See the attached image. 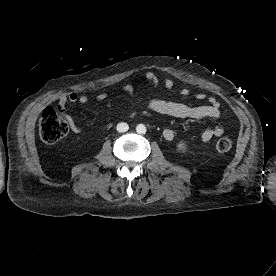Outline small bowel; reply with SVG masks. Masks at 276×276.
I'll return each instance as SVG.
<instances>
[{"mask_svg":"<svg viewBox=\"0 0 276 276\" xmlns=\"http://www.w3.org/2000/svg\"><path fill=\"white\" fill-rule=\"evenodd\" d=\"M159 77L153 73L148 72L144 75V77L140 80V83L144 86L148 85H157L159 84ZM165 88L170 91L172 90L174 83L170 78H165L163 80ZM122 91L127 95L133 94V87L131 85H125L122 88ZM190 94V90L187 88H183L179 91V95L181 97H187ZM108 97L106 93H100L97 95L98 101H103ZM197 100H204L207 98L206 94L199 93L195 96ZM209 103L205 105H197L190 106L181 102L176 101H168L163 99H152L148 108L158 114L180 118V119H204V118H212L217 119L221 116L220 105L218 101L214 97H210L208 99ZM88 102V97L86 95H79L77 93L71 92L66 95H61L58 99V108L64 115L67 120L72 132L79 133L80 127L75 122L72 116L65 112V108L68 103H80L86 104ZM225 128L222 125H218L214 128H208L202 131L201 140L203 142H208L213 137H220L224 134ZM163 138L167 141H171L175 137V132L172 129L163 130Z\"/></svg>","mask_w":276,"mask_h":276,"instance_id":"1","label":"small bowel"}]
</instances>
